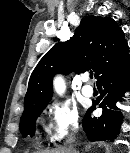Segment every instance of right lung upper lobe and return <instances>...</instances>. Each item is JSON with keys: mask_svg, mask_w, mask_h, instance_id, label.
Wrapping results in <instances>:
<instances>
[{"mask_svg": "<svg viewBox=\"0 0 130 153\" xmlns=\"http://www.w3.org/2000/svg\"><path fill=\"white\" fill-rule=\"evenodd\" d=\"M124 33L110 17L91 15L81 20L73 37L56 43L32 72L24 99V111L48 103L56 73L93 70L95 78L119 64L128 55Z\"/></svg>", "mask_w": 130, "mask_h": 153, "instance_id": "1", "label": "right lung upper lobe"}]
</instances>
